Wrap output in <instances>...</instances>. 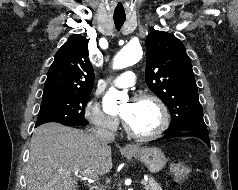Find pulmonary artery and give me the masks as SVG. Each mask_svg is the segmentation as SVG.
Returning <instances> with one entry per match:
<instances>
[{"instance_id":"pulmonary-artery-1","label":"pulmonary artery","mask_w":238,"mask_h":190,"mask_svg":"<svg viewBox=\"0 0 238 190\" xmlns=\"http://www.w3.org/2000/svg\"><path fill=\"white\" fill-rule=\"evenodd\" d=\"M136 81V75L133 71H126L121 74L116 80L114 84L118 88H127L133 86Z\"/></svg>"}]
</instances>
